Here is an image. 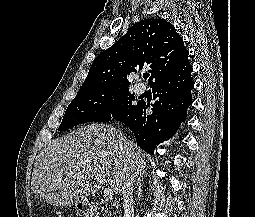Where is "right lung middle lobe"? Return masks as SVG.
Returning <instances> with one entry per match:
<instances>
[{
  "mask_svg": "<svg viewBox=\"0 0 255 217\" xmlns=\"http://www.w3.org/2000/svg\"><path fill=\"white\" fill-rule=\"evenodd\" d=\"M128 87L102 90L90 93H77L66 109L58 128L67 130L86 122H105L130 113L136 105Z\"/></svg>",
  "mask_w": 255,
  "mask_h": 217,
  "instance_id": "1",
  "label": "right lung middle lobe"
}]
</instances>
